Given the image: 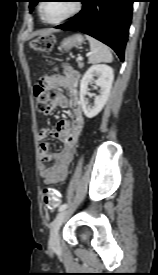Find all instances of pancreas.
Masks as SVG:
<instances>
[{
    "instance_id": "pancreas-1",
    "label": "pancreas",
    "mask_w": 158,
    "mask_h": 275,
    "mask_svg": "<svg viewBox=\"0 0 158 275\" xmlns=\"http://www.w3.org/2000/svg\"><path fill=\"white\" fill-rule=\"evenodd\" d=\"M77 62H78L79 68H83L84 64L80 60H77Z\"/></svg>"
}]
</instances>
